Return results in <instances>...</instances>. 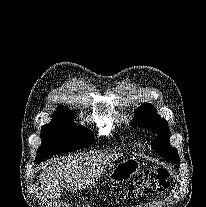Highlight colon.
<instances>
[{"label": "colon", "instance_id": "obj_1", "mask_svg": "<svg viewBox=\"0 0 206 207\" xmlns=\"http://www.w3.org/2000/svg\"><path fill=\"white\" fill-rule=\"evenodd\" d=\"M169 187V174L165 168H148L140 172L131 182V194L160 193Z\"/></svg>", "mask_w": 206, "mask_h": 207}]
</instances>
